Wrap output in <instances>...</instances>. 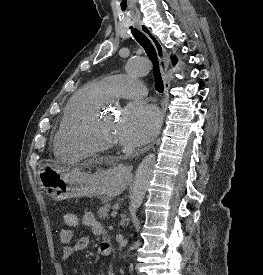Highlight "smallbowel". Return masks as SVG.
Returning a JSON list of instances; mask_svg holds the SVG:
<instances>
[{
	"label": "small bowel",
	"mask_w": 263,
	"mask_h": 275,
	"mask_svg": "<svg viewBox=\"0 0 263 275\" xmlns=\"http://www.w3.org/2000/svg\"><path fill=\"white\" fill-rule=\"evenodd\" d=\"M82 224L91 230L96 236L105 237L106 231L104 226L95 218L92 212L84 213L82 217ZM59 240L64 244V248L61 255V263H68L69 259L76 253L86 249L90 244V238L88 236L80 237L73 243L74 231L71 228H62L59 233ZM111 253V247L108 240L104 239L99 247V254L101 256H109ZM107 275H114V272L110 269Z\"/></svg>",
	"instance_id": "1"
}]
</instances>
